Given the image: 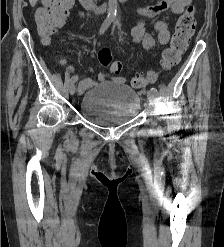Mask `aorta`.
Here are the masks:
<instances>
[{
  "label": "aorta",
  "mask_w": 224,
  "mask_h": 247,
  "mask_svg": "<svg viewBox=\"0 0 224 247\" xmlns=\"http://www.w3.org/2000/svg\"><path fill=\"white\" fill-rule=\"evenodd\" d=\"M117 6V0H108L107 18H110V20H115L117 16Z\"/></svg>",
  "instance_id": "obj_1"
}]
</instances>
